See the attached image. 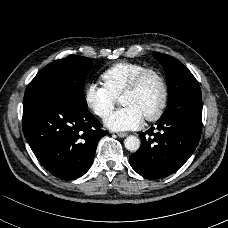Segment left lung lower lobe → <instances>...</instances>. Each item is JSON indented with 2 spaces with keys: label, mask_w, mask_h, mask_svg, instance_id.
I'll list each match as a JSON object with an SVG mask.
<instances>
[{
  "label": "left lung lower lobe",
  "mask_w": 228,
  "mask_h": 228,
  "mask_svg": "<svg viewBox=\"0 0 228 228\" xmlns=\"http://www.w3.org/2000/svg\"><path fill=\"white\" fill-rule=\"evenodd\" d=\"M141 133V147L130 158L132 168L147 179H160L177 171L197 147L202 130V109L177 108ZM148 134L152 136L148 138Z\"/></svg>",
  "instance_id": "obj_1"
}]
</instances>
